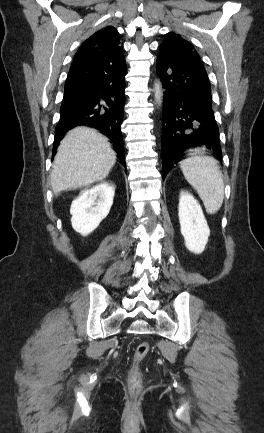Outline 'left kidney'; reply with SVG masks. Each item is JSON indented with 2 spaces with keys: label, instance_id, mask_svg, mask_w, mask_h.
Listing matches in <instances>:
<instances>
[{
  "label": "left kidney",
  "instance_id": "5707ae66",
  "mask_svg": "<svg viewBox=\"0 0 264 433\" xmlns=\"http://www.w3.org/2000/svg\"><path fill=\"white\" fill-rule=\"evenodd\" d=\"M178 216L186 248L195 254L202 253L210 229L198 201L187 191L180 192Z\"/></svg>",
  "mask_w": 264,
  "mask_h": 433
}]
</instances>
